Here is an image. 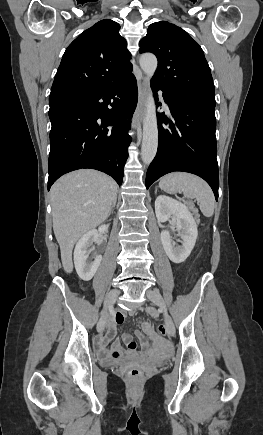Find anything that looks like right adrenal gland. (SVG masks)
I'll return each mask as SVG.
<instances>
[{
	"mask_svg": "<svg viewBox=\"0 0 263 435\" xmlns=\"http://www.w3.org/2000/svg\"><path fill=\"white\" fill-rule=\"evenodd\" d=\"M115 206H116V201L113 203L110 213L112 212V210L114 209Z\"/></svg>",
	"mask_w": 263,
	"mask_h": 435,
	"instance_id": "right-adrenal-gland-1",
	"label": "right adrenal gland"
}]
</instances>
